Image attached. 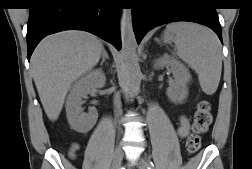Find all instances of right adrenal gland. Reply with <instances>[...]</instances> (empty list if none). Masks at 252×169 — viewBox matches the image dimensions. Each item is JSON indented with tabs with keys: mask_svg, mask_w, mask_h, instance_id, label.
<instances>
[{
	"mask_svg": "<svg viewBox=\"0 0 252 169\" xmlns=\"http://www.w3.org/2000/svg\"><path fill=\"white\" fill-rule=\"evenodd\" d=\"M106 59H109V56H108L107 51L103 48L102 61H101V63H100L101 66H102L103 63L106 61Z\"/></svg>",
	"mask_w": 252,
	"mask_h": 169,
	"instance_id": "2a0ac1e0",
	"label": "right adrenal gland"
}]
</instances>
